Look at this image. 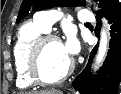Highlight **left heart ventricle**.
Returning a JSON list of instances; mask_svg holds the SVG:
<instances>
[{"label": "left heart ventricle", "mask_w": 121, "mask_h": 94, "mask_svg": "<svg viewBox=\"0 0 121 94\" xmlns=\"http://www.w3.org/2000/svg\"><path fill=\"white\" fill-rule=\"evenodd\" d=\"M71 57L66 53L61 42L46 43L40 55V71L47 80L58 78L70 64Z\"/></svg>", "instance_id": "obj_1"}]
</instances>
